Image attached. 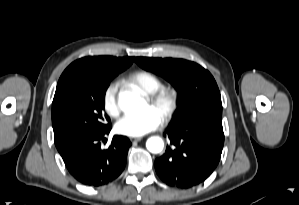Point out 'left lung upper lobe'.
Segmentation results:
<instances>
[{
	"label": "left lung upper lobe",
	"instance_id": "left-lung-upper-lobe-1",
	"mask_svg": "<svg viewBox=\"0 0 299 205\" xmlns=\"http://www.w3.org/2000/svg\"><path fill=\"white\" fill-rule=\"evenodd\" d=\"M136 63L152 71L178 90V107L172 123L199 121L222 115V103L213 76L197 63L184 59L136 57Z\"/></svg>",
	"mask_w": 299,
	"mask_h": 205
}]
</instances>
